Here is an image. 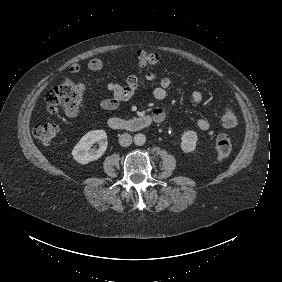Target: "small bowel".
<instances>
[{
  "instance_id": "small-bowel-1",
  "label": "small bowel",
  "mask_w": 282,
  "mask_h": 282,
  "mask_svg": "<svg viewBox=\"0 0 282 282\" xmlns=\"http://www.w3.org/2000/svg\"><path fill=\"white\" fill-rule=\"evenodd\" d=\"M102 67L103 62L98 58H93L87 63V69L89 71H98ZM79 71V64H73L69 69L70 74H77ZM147 83L153 84L152 95L157 101L165 100L168 89L173 86V81L171 79H158L153 73H147L141 76L131 74L126 78L125 83L113 81L107 85L110 96L101 100L100 107L103 110L108 111L116 110L123 102L131 99L137 89ZM189 97L194 104H199L203 99L202 93L198 90H192L189 93ZM81 108V105L66 107L65 113L68 117H75L80 112ZM160 113L164 114V111L160 108L153 112V114H155L154 116L158 118L162 117V114ZM195 125L201 130H207L210 127V122L204 117H197L195 119Z\"/></svg>"
}]
</instances>
